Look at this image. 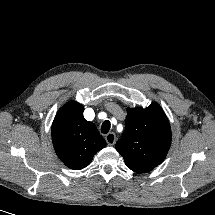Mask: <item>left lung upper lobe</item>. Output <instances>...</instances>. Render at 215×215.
I'll use <instances>...</instances> for the list:
<instances>
[{"label":"left lung upper lobe","instance_id":"1","mask_svg":"<svg viewBox=\"0 0 215 215\" xmlns=\"http://www.w3.org/2000/svg\"><path fill=\"white\" fill-rule=\"evenodd\" d=\"M170 144V124L159 104L127 109L125 132L116 149L128 168L137 173L150 172L162 163Z\"/></svg>","mask_w":215,"mask_h":215}]
</instances>
